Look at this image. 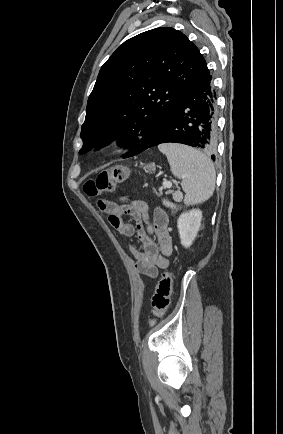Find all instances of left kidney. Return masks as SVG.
Segmentation results:
<instances>
[{
  "label": "left kidney",
  "mask_w": 283,
  "mask_h": 434,
  "mask_svg": "<svg viewBox=\"0 0 283 434\" xmlns=\"http://www.w3.org/2000/svg\"><path fill=\"white\" fill-rule=\"evenodd\" d=\"M202 212L199 209H193L183 213L177 220V227L181 239V244L188 248L192 245L201 226Z\"/></svg>",
  "instance_id": "5707ae66"
}]
</instances>
